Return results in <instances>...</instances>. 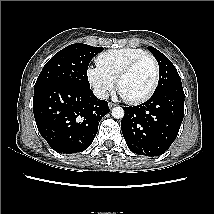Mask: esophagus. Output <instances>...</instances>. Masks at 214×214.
Returning a JSON list of instances; mask_svg holds the SVG:
<instances>
[{
  "label": "esophagus",
  "mask_w": 214,
  "mask_h": 214,
  "mask_svg": "<svg viewBox=\"0 0 214 214\" xmlns=\"http://www.w3.org/2000/svg\"><path fill=\"white\" fill-rule=\"evenodd\" d=\"M108 105H109V107H110V108H112V107H114V106H115V104H114V103H112V102H109V104H108Z\"/></svg>",
  "instance_id": "esophagus-1"
}]
</instances>
